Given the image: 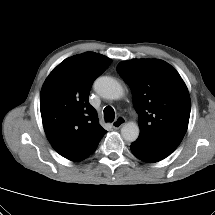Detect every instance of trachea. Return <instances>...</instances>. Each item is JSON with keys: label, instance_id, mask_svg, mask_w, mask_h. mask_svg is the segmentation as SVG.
<instances>
[{"label": "trachea", "instance_id": "3493384b", "mask_svg": "<svg viewBox=\"0 0 215 215\" xmlns=\"http://www.w3.org/2000/svg\"><path fill=\"white\" fill-rule=\"evenodd\" d=\"M115 118L114 109L111 106H107L104 109V119L106 122H113Z\"/></svg>", "mask_w": 215, "mask_h": 215}]
</instances>
